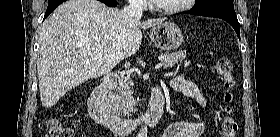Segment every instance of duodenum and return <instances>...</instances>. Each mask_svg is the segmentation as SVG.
<instances>
[{
	"instance_id": "1",
	"label": "duodenum",
	"mask_w": 280,
	"mask_h": 137,
	"mask_svg": "<svg viewBox=\"0 0 280 137\" xmlns=\"http://www.w3.org/2000/svg\"><path fill=\"white\" fill-rule=\"evenodd\" d=\"M115 80L114 75L105 76L90 95L88 109L93 119L117 134H131L158 124L164 113L165 102L161 88L153 87L149 108L143 116L135 119H121L115 117L105 107L108 91L113 88Z\"/></svg>"
}]
</instances>
